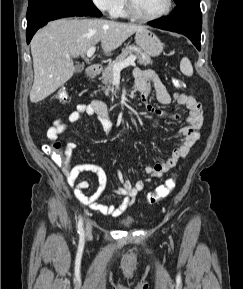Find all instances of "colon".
Returning a JSON list of instances; mask_svg holds the SVG:
<instances>
[{"mask_svg":"<svg viewBox=\"0 0 243 289\" xmlns=\"http://www.w3.org/2000/svg\"><path fill=\"white\" fill-rule=\"evenodd\" d=\"M172 82L176 88L184 87V83L179 79H173ZM55 98L59 100L60 102H65L68 99V93L66 89L64 88L59 89L55 94ZM60 147H61V144L59 142H54V143L44 145L43 150L48 155L51 156V158L57 165L64 166L65 157L61 154ZM175 186H176L175 177L166 180L164 184L158 186L154 192L150 193L147 196V202L151 205L156 204L160 200L168 197L170 193L174 190Z\"/></svg>","mask_w":243,"mask_h":289,"instance_id":"obj_1","label":"colon"}]
</instances>
